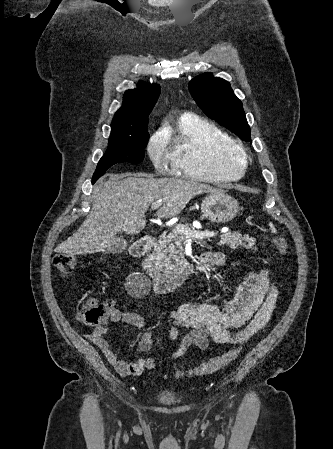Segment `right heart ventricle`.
<instances>
[{
  "instance_id": "right-heart-ventricle-1",
  "label": "right heart ventricle",
  "mask_w": 333,
  "mask_h": 449,
  "mask_svg": "<svg viewBox=\"0 0 333 449\" xmlns=\"http://www.w3.org/2000/svg\"><path fill=\"white\" fill-rule=\"evenodd\" d=\"M233 139L216 124L188 117L180 119L171 139L170 161L172 171L181 177L203 181H233L241 178L247 160L226 163L225 148Z\"/></svg>"
}]
</instances>
